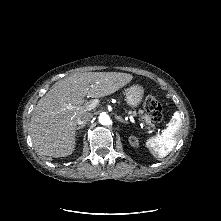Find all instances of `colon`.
I'll list each match as a JSON object with an SVG mask.
<instances>
[{
    "mask_svg": "<svg viewBox=\"0 0 221 221\" xmlns=\"http://www.w3.org/2000/svg\"><path fill=\"white\" fill-rule=\"evenodd\" d=\"M144 108L154 123H160L162 121L163 108L155 96L149 95L145 98Z\"/></svg>",
    "mask_w": 221,
    "mask_h": 221,
    "instance_id": "5ec220e1",
    "label": "colon"
}]
</instances>
